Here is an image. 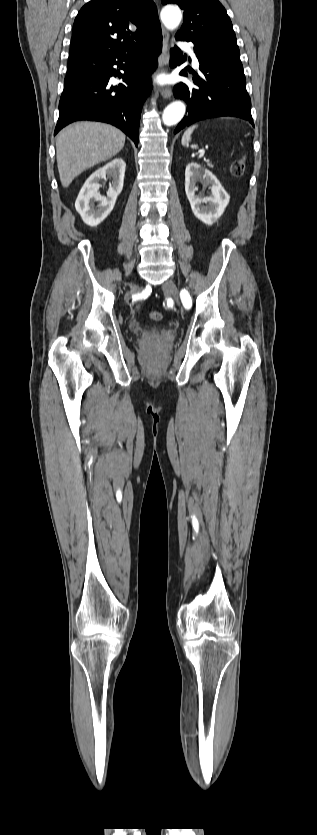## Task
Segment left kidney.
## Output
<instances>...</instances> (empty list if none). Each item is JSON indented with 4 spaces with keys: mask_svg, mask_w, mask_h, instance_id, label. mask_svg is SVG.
Instances as JSON below:
<instances>
[{
    "mask_svg": "<svg viewBox=\"0 0 317 835\" xmlns=\"http://www.w3.org/2000/svg\"><path fill=\"white\" fill-rule=\"evenodd\" d=\"M201 180H205L207 184L211 185L210 196H204L203 193L195 194L197 190L195 183ZM185 192L193 214L207 225H212L221 217L230 201V196L216 176L196 162H191L186 166Z\"/></svg>",
    "mask_w": 317,
    "mask_h": 835,
    "instance_id": "1",
    "label": "left kidney"
}]
</instances>
